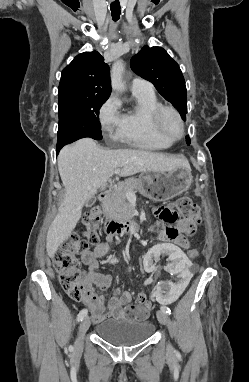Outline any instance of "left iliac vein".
Masks as SVG:
<instances>
[{
	"instance_id": "4c4485c4",
	"label": "left iliac vein",
	"mask_w": 249,
	"mask_h": 382,
	"mask_svg": "<svg viewBox=\"0 0 249 382\" xmlns=\"http://www.w3.org/2000/svg\"><path fill=\"white\" fill-rule=\"evenodd\" d=\"M156 315H157V319L159 320L160 323H162L164 325L168 324V322H169L168 314H166L162 310H159V311H157ZM168 349H171V345L170 344H168Z\"/></svg>"
}]
</instances>
